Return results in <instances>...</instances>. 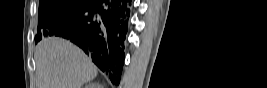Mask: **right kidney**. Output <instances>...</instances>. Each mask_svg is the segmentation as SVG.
Segmentation results:
<instances>
[{"label":"right kidney","instance_id":"right-kidney-1","mask_svg":"<svg viewBox=\"0 0 267 88\" xmlns=\"http://www.w3.org/2000/svg\"><path fill=\"white\" fill-rule=\"evenodd\" d=\"M85 88H103V86L97 82H90L85 85Z\"/></svg>","mask_w":267,"mask_h":88}]
</instances>
